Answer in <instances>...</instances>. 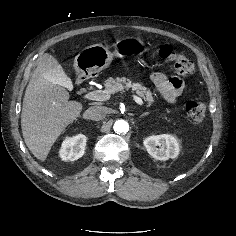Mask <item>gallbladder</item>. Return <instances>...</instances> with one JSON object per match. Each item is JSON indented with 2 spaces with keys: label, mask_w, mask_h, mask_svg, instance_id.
Listing matches in <instances>:
<instances>
[{
  "label": "gallbladder",
  "mask_w": 236,
  "mask_h": 236,
  "mask_svg": "<svg viewBox=\"0 0 236 236\" xmlns=\"http://www.w3.org/2000/svg\"><path fill=\"white\" fill-rule=\"evenodd\" d=\"M38 62L42 63L45 69V74L49 79L58 83L63 82V80L65 79V73L61 65L53 56L49 54H43L38 58Z\"/></svg>",
  "instance_id": "bac80fb5"
}]
</instances>
